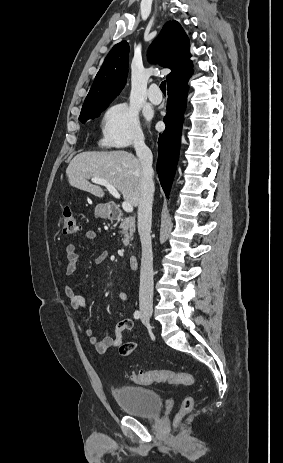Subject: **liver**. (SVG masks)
Segmentation results:
<instances>
[{"label": "liver", "mask_w": 283, "mask_h": 463, "mask_svg": "<svg viewBox=\"0 0 283 463\" xmlns=\"http://www.w3.org/2000/svg\"><path fill=\"white\" fill-rule=\"evenodd\" d=\"M71 186L104 197L103 189L89 182L90 178L108 181L125 201L137 206L141 195L143 170L141 162L126 151L83 152L77 154L66 169Z\"/></svg>", "instance_id": "1"}]
</instances>
